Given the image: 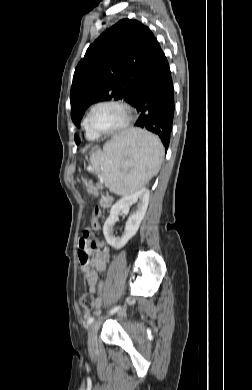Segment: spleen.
<instances>
[{"instance_id":"spleen-1","label":"spleen","mask_w":252,"mask_h":390,"mask_svg":"<svg viewBox=\"0 0 252 390\" xmlns=\"http://www.w3.org/2000/svg\"><path fill=\"white\" fill-rule=\"evenodd\" d=\"M163 157L164 147L156 135L133 128L114 136L103 151L91 155L90 162L107 188L128 196L158 173Z\"/></svg>"}]
</instances>
